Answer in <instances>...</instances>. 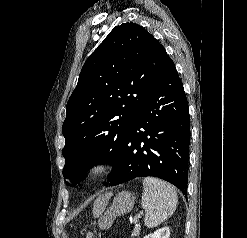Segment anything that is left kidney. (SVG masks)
<instances>
[{
	"label": "left kidney",
	"instance_id": "left-kidney-1",
	"mask_svg": "<svg viewBox=\"0 0 247 238\" xmlns=\"http://www.w3.org/2000/svg\"><path fill=\"white\" fill-rule=\"evenodd\" d=\"M169 237H170L169 227H163L161 229L156 230L154 233L144 236V238H169Z\"/></svg>",
	"mask_w": 247,
	"mask_h": 238
}]
</instances>
